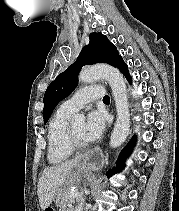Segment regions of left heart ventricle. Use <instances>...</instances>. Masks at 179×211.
I'll return each mask as SVG.
<instances>
[{"label": "left heart ventricle", "instance_id": "b2bd125f", "mask_svg": "<svg viewBox=\"0 0 179 211\" xmlns=\"http://www.w3.org/2000/svg\"><path fill=\"white\" fill-rule=\"evenodd\" d=\"M84 128H85V124L83 122L80 123H75L72 125V129L75 133V135L81 140L86 142V139L84 137Z\"/></svg>", "mask_w": 179, "mask_h": 211}]
</instances>
